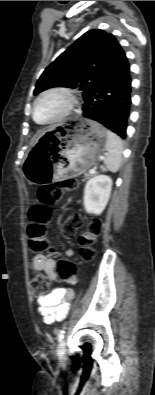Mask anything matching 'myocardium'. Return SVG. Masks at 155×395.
<instances>
[{"instance_id":"f54148a6","label":"myocardium","mask_w":155,"mask_h":395,"mask_svg":"<svg viewBox=\"0 0 155 395\" xmlns=\"http://www.w3.org/2000/svg\"><path fill=\"white\" fill-rule=\"evenodd\" d=\"M50 96L60 97L64 102L63 107L60 110V112L57 113L51 119L44 121V122H40L36 119V116H35L36 108H37L38 104L40 103V101H42L44 98L50 97ZM77 103H78V101H77L76 95L74 94V92L71 89H69L67 87L48 88V89L42 91L40 94H38L37 97L34 99V101L32 103V107H31L32 120L37 125H40V126H51V125L60 123L72 114L75 107L77 106Z\"/></svg>"}]
</instances>
